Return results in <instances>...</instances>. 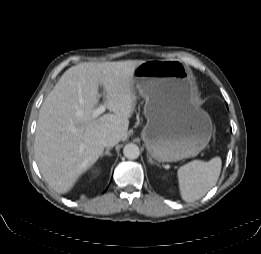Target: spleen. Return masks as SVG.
Wrapping results in <instances>:
<instances>
[{"label": "spleen", "mask_w": 261, "mask_h": 254, "mask_svg": "<svg viewBox=\"0 0 261 254\" xmlns=\"http://www.w3.org/2000/svg\"><path fill=\"white\" fill-rule=\"evenodd\" d=\"M222 167L220 157L208 162L193 160L178 169L181 197L186 202L202 198L217 183Z\"/></svg>", "instance_id": "1"}]
</instances>
